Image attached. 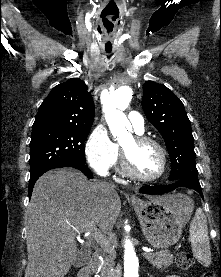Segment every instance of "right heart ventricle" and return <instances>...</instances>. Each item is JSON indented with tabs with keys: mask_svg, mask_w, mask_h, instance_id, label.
Masks as SVG:
<instances>
[{
	"mask_svg": "<svg viewBox=\"0 0 221 277\" xmlns=\"http://www.w3.org/2000/svg\"><path fill=\"white\" fill-rule=\"evenodd\" d=\"M117 149H118V147H117ZM118 156H119V151L117 152V158H118ZM117 158H116V160H117Z\"/></svg>",
	"mask_w": 221,
	"mask_h": 277,
	"instance_id": "obj_1",
	"label": "right heart ventricle"
}]
</instances>
